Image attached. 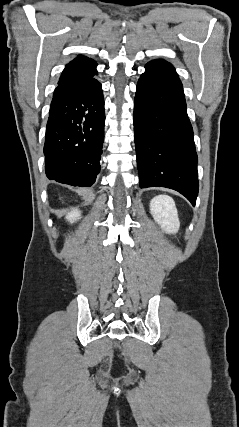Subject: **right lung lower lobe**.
<instances>
[{
	"label": "right lung lower lobe",
	"mask_w": 239,
	"mask_h": 427,
	"mask_svg": "<svg viewBox=\"0 0 239 427\" xmlns=\"http://www.w3.org/2000/svg\"><path fill=\"white\" fill-rule=\"evenodd\" d=\"M96 72L58 83L44 145L49 179L87 187L96 182L104 141V99Z\"/></svg>",
	"instance_id": "right-lung-lower-lobe-1"
}]
</instances>
